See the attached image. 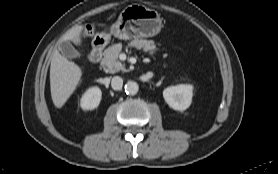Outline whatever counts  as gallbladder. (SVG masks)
<instances>
[{"instance_id":"gallbladder-1","label":"gallbladder","mask_w":278,"mask_h":174,"mask_svg":"<svg viewBox=\"0 0 278 174\" xmlns=\"http://www.w3.org/2000/svg\"><path fill=\"white\" fill-rule=\"evenodd\" d=\"M58 51L70 59L81 58L80 53L72 46L70 42H61L57 46Z\"/></svg>"}]
</instances>
